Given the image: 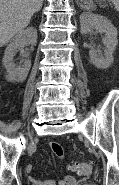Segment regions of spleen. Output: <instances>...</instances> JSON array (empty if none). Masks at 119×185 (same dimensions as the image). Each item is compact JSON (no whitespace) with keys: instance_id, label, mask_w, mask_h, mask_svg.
<instances>
[{"instance_id":"1","label":"spleen","mask_w":119,"mask_h":185,"mask_svg":"<svg viewBox=\"0 0 119 185\" xmlns=\"http://www.w3.org/2000/svg\"><path fill=\"white\" fill-rule=\"evenodd\" d=\"M81 2H83L82 7L84 9H93L94 8V4H93L92 0H81ZM112 2L115 6V9L117 11H119V0H112Z\"/></svg>"}]
</instances>
